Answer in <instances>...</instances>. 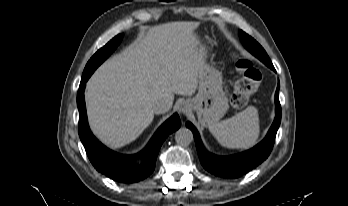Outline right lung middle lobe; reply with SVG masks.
<instances>
[{
  "label": "right lung middle lobe",
  "mask_w": 348,
  "mask_h": 206,
  "mask_svg": "<svg viewBox=\"0 0 348 206\" xmlns=\"http://www.w3.org/2000/svg\"><path fill=\"white\" fill-rule=\"evenodd\" d=\"M121 39H122V35H118L114 37L108 44H106L103 48L98 50L87 64L91 63V61L93 60L104 61L101 59L104 57H108L116 49Z\"/></svg>",
  "instance_id": "obj_1"
}]
</instances>
